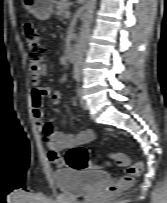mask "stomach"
Listing matches in <instances>:
<instances>
[{"label":"stomach","instance_id":"0dacf381","mask_svg":"<svg viewBox=\"0 0 167 203\" xmlns=\"http://www.w3.org/2000/svg\"><path fill=\"white\" fill-rule=\"evenodd\" d=\"M55 0H22L23 7L39 20H47L53 13Z\"/></svg>","mask_w":167,"mask_h":203}]
</instances>
